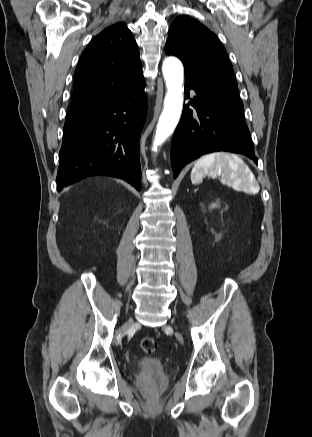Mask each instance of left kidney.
Segmentation results:
<instances>
[{"label":"left kidney","mask_w":312,"mask_h":437,"mask_svg":"<svg viewBox=\"0 0 312 437\" xmlns=\"http://www.w3.org/2000/svg\"><path fill=\"white\" fill-rule=\"evenodd\" d=\"M216 206V204H213V206L212 207H215Z\"/></svg>","instance_id":"obj_1"}]
</instances>
